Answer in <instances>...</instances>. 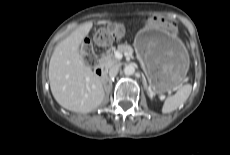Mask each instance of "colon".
<instances>
[{"label": "colon", "mask_w": 230, "mask_h": 155, "mask_svg": "<svg viewBox=\"0 0 230 155\" xmlns=\"http://www.w3.org/2000/svg\"><path fill=\"white\" fill-rule=\"evenodd\" d=\"M123 34V26L120 23L106 24L100 28L94 35V42L97 46L104 47L114 42ZM92 39L89 36L82 37L81 53L85 62L92 66L96 62V56L91 44Z\"/></svg>", "instance_id": "colon-1"}]
</instances>
